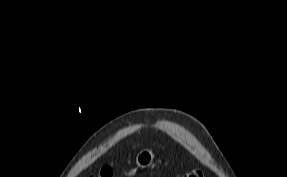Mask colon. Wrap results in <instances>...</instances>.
<instances>
[{"mask_svg":"<svg viewBox=\"0 0 287 177\" xmlns=\"http://www.w3.org/2000/svg\"><path fill=\"white\" fill-rule=\"evenodd\" d=\"M113 172L110 168H101L95 174H91L89 177H112ZM182 177H203V173L198 169H193L184 174Z\"/></svg>","mask_w":287,"mask_h":177,"instance_id":"colon-1","label":"colon"}]
</instances>
